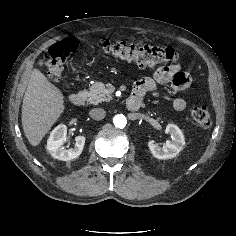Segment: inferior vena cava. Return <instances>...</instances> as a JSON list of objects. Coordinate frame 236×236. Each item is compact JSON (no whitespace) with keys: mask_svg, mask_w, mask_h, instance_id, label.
Instances as JSON below:
<instances>
[{"mask_svg":"<svg viewBox=\"0 0 236 236\" xmlns=\"http://www.w3.org/2000/svg\"><path fill=\"white\" fill-rule=\"evenodd\" d=\"M89 115L94 120H102L106 116V111L102 108H93L90 110Z\"/></svg>","mask_w":236,"mask_h":236,"instance_id":"1","label":"inferior vena cava"}]
</instances>
